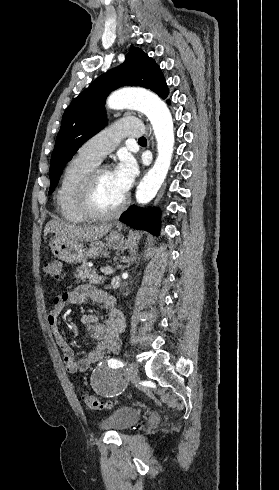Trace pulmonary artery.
Here are the masks:
<instances>
[{
    "label": "pulmonary artery",
    "instance_id": "pulmonary-artery-1",
    "mask_svg": "<svg viewBox=\"0 0 279 490\" xmlns=\"http://www.w3.org/2000/svg\"><path fill=\"white\" fill-rule=\"evenodd\" d=\"M144 129L145 124L140 122L139 117H123L120 122H110L109 128L87 139L80 147L79 154L99 164L117 146L119 137L128 135L134 140H141Z\"/></svg>",
    "mask_w": 279,
    "mask_h": 490
}]
</instances>
